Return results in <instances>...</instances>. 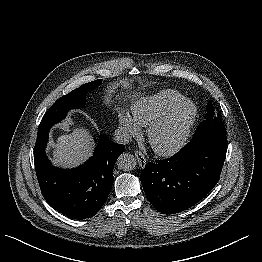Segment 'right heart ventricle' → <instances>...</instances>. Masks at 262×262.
Returning a JSON list of instances; mask_svg holds the SVG:
<instances>
[{
    "label": "right heart ventricle",
    "instance_id": "right-heart-ventricle-1",
    "mask_svg": "<svg viewBox=\"0 0 262 262\" xmlns=\"http://www.w3.org/2000/svg\"><path fill=\"white\" fill-rule=\"evenodd\" d=\"M183 99V95L170 89L143 97L133 106V118L140 127L148 128L169 108Z\"/></svg>",
    "mask_w": 262,
    "mask_h": 262
}]
</instances>
